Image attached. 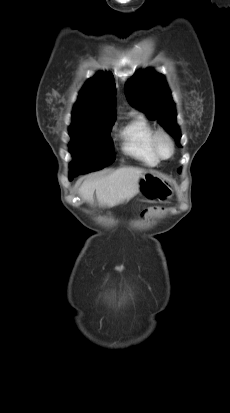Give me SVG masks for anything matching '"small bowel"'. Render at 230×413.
Instances as JSON below:
<instances>
[{
	"label": "small bowel",
	"mask_w": 230,
	"mask_h": 413,
	"mask_svg": "<svg viewBox=\"0 0 230 413\" xmlns=\"http://www.w3.org/2000/svg\"><path fill=\"white\" fill-rule=\"evenodd\" d=\"M169 208L167 206H158V205H146L145 209L141 211V216L143 218L152 217L153 214L158 213H167Z\"/></svg>",
	"instance_id": "1"
}]
</instances>
